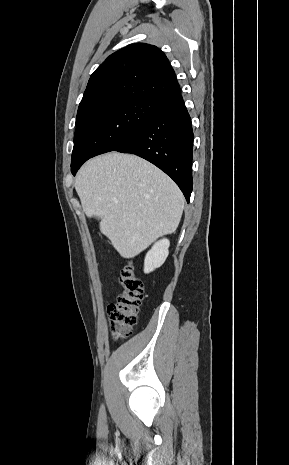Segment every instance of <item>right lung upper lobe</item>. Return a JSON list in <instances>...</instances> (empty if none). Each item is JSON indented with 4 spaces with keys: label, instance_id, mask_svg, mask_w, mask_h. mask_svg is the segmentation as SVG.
Here are the masks:
<instances>
[{
    "label": "right lung upper lobe",
    "instance_id": "obj_1",
    "mask_svg": "<svg viewBox=\"0 0 289 465\" xmlns=\"http://www.w3.org/2000/svg\"><path fill=\"white\" fill-rule=\"evenodd\" d=\"M180 93L175 72L156 46L136 43L111 54L91 75L76 123L109 105L145 100L161 103Z\"/></svg>",
    "mask_w": 289,
    "mask_h": 465
}]
</instances>
